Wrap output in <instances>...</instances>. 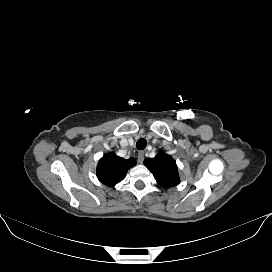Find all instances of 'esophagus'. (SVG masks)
I'll use <instances>...</instances> for the list:
<instances>
[{
    "label": "esophagus",
    "instance_id": "34e87169",
    "mask_svg": "<svg viewBox=\"0 0 272 272\" xmlns=\"http://www.w3.org/2000/svg\"><path fill=\"white\" fill-rule=\"evenodd\" d=\"M144 157H145L144 152L140 151V152L138 153V156H137L138 162H139V163H143Z\"/></svg>",
    "mask_w": 272,
    "mask_h": 272
}]
</instances>
